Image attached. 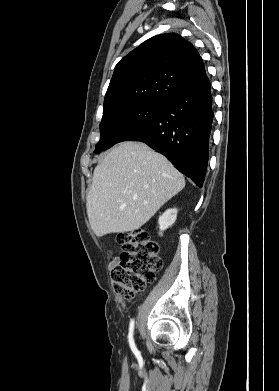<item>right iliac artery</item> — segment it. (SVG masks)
<instances>
[{
    "label": "right iliac artery",
    "mask_w": 279,
    "mask_h": 391,
    "mask_svg": "<svg viewBox=\"0 0 279 391\" xmlns=\"http://www.w3.org/2000/svg\"><path fill=\"white\" fill-rule=\"evenodd\" d=\"M133 331H134V320H131L130 326H129V335H128V340H129V345L132 350H135V343L133 339Z\"/></svg>",
    "instance_id": "obj_1"
}]
</instances>
